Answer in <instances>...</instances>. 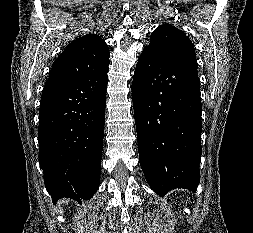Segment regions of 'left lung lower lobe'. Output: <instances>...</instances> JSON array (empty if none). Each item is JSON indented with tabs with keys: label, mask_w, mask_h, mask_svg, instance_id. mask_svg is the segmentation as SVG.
<instances>
[{
	"label": "left lung lower lobe",
	"mask_w": 253,
	"mask_h": 233,
	"mask_svg": "<svg viewBox=\"0 0 253 233\" xmlns=\"http://www.w3.org/2000/svg\"><path fill=\"white\" fill-rule=\"evenodd\" d=\"M132 91L139 161L148 184L159 196L175 188L195 191L202 153L197 67L163 60L145 47Z\"/></svg>",
	"instance_id": "obj_1"
}]
</instances>
